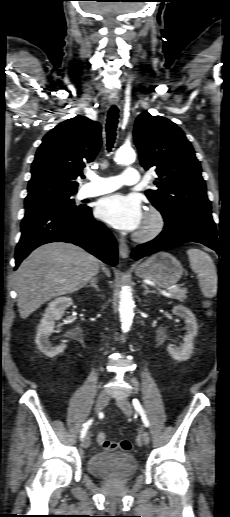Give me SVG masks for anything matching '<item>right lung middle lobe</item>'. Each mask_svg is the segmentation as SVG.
Segmentation results:
<instances>
[{
    "label": "right lung middle lobe",
    "instance_id": "right-lung-middle-lobe-1",
    "mask_svg": "<svg viewBox=\"0 0 230 517\" xmlns=\"http://www.w3.org/2000/svg\"><path fill=\"white\" fill-rule=\"evenodd\" d=\"M75 193L71 194H64V195H56V196H50L47 198L39 199V200H33L25 202V209H36V208H46V207H52V208H60V209H66V210H83L85 208L84 205L76 206L74 200L72 199V196Z\"/></svg>",
    "mask_w": 230,
    "mask_h": 517
}]
</instances>
